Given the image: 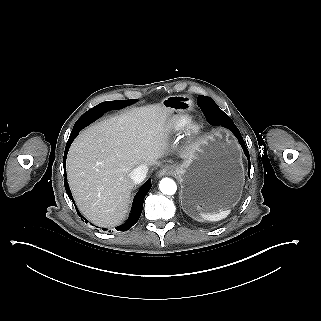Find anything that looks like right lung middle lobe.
I'll return each mask as SVG.
<instances>
[{"label":"right lung middle lobe","instance_id":"obj_1","mask_svg":"<svg viewBox=\"0 0 321 321\" xmlns=\"http://www.w3.org/2000/svg\"><path fill=\"white\" fill-rule=\"evenodd\" d=\"M137 100L133 99V100H120V101H106V102H102L100 104L97 105V107H103V106H109V105H117V104H133L135 103Z\"/></svg>","mask_w":321,"mask_h":321}]
</instances>
